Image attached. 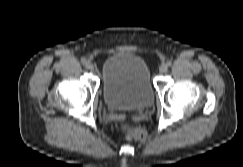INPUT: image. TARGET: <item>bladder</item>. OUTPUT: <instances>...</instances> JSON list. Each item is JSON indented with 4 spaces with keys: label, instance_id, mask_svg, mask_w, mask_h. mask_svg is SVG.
Segmentation results:
<instances>
[{
    "label": "bladder",
    "instance_id": "1",
    "mask_svg": "<svg viewBox=\"0 0 243 167\" xmlns=\"http://www.w3.org/2000/svg\"><path fill=\"white\" fill-rule=\"evenodd\" d=\"M102 94L114 110L143 111L152 107L154 91L146 61L130 52L108 56L102 66Z\"/></svg>",
    "mask_w": 243,
    "mask_h": 167
}]
</instances>
